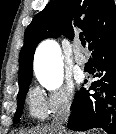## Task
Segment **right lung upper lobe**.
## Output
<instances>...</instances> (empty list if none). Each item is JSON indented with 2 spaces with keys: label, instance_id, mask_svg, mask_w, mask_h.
Here are the masks:
<instances>
[{
  "label": "right lung upper lobe",
  "instance_id": "right-lung-upper-lobe-1",
  "mask_svg": "<svg viewBox=\"0 0 116 134\" xmlns=\"http://www.w3.org/2000/svg\"><path fill=\"white\" fill-rule=\"evenodd\" d=\"M61 34L69 40L84 35L88 49L116 35V6L113 0H54L36 14L24 35V46L19 56V93L31 82L33 57L37 45L44 39Z\"/></svg>",
  "mask_w": 116,
  "mask_h": 134
}]
</instances>
